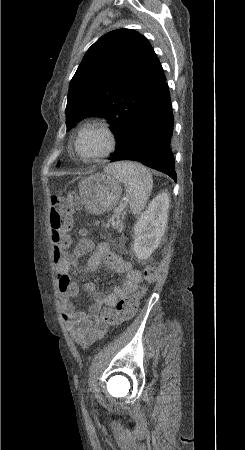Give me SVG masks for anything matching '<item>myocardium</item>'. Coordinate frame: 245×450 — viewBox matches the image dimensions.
Instances as JSON below:
<instances>
[{"label":"myocardium","mask_w":245,"mask_h":450,"mask_svg":"<svg viewBox=\"0 0 245 450\" xmlns=\"http://www.w3.org/2000/svg\"><path fill=\"white\" fill-rule=\"evenodd\" d=\"M97 132L104 134V136L106 137L107 144H106L105 149L99 153L92 154V155L82 154L79 151V146H80V143L83 140V138L90 133H97ZM116 144H117V139H116L115 133L113 132L111 127L106 123L97 122V123H93V124H87V125H84L83 127H81V129L77 133V136L74 141V150H75V153L81 159L95 160V159L105 158V157L109 156L110 154H112L116 148Z\"/></svg>","instance_id":"1"}]
</instances>
